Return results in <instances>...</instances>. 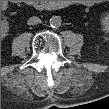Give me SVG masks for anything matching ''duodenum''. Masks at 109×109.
<instances>
[{"instance_id":"obj_1","label":"duodenum","mask_w":109,"mask_h":109,"mask_svg":"<svg viewBox=\"0 0 109 109\" xmlns=\"http://www.w3.org/2000/svg\"><path fill=\"white\" fill-rule=\"evenodd\" d=\"M26 4L30 7L39 8L41 10L49 9L52 7L50 3L44 1H26Z\"/></svg>"}]
</instances>
